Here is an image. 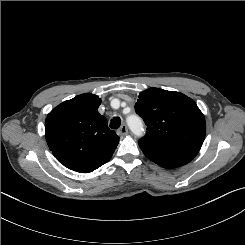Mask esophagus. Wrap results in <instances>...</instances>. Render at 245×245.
I'll list each match as a JSON object with an SVG mask.
<instances>
[{"mask_svg": "<svg viewBox=\"0 0 245 245\" xmlns=\"http://www.w3.org/2000/svg\"><path fill=\"white\" fill-rule=\"evenodd\" d=\"M117 133L121 136L126 135L128 133V128L125 124H123L117 131Z\"/></svg>", "mask_w": 245, "mask_h": 245, "instance_id": "esophagus-1", "label": "esophagus"}]
</instances>
